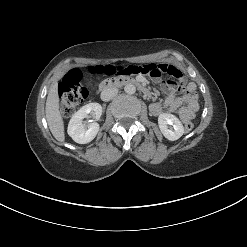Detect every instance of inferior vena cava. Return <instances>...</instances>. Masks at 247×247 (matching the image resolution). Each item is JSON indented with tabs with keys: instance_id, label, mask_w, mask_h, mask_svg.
I'll return each mask as SVG.
<instances>
[{
	"instance_id": "602c4592",
	"label": "inferior vena cava",
	"mask_w": 247,
	"mask_h": 247,
	"mask_svg": "<svg viewBox=\"0 0 247 247\" xmlns=\"http://www.w3.org/2000/svg\"><path fill=\"white\" fill-rule=\"evenodd\" d=\"M118 93V89L117 88H106L105 90L102 91L101 93V99L103 101H109L111 100L113 97H115Z\"/></svg>"
}]
</instances>
